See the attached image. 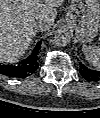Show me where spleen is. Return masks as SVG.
<instances>
[{
    "label": "spleen",
    "mask_w": 100,
    "mask_h": 118,
    "mask_svg": "<svg viewBox=\"0 0 100 118\" xmlns=\"http://www.w3.org/2000/svg\"><path fill=\"white\" fill-rule=\"evenodd\" d=\"M82 51L86 60L92 64L95 68L100 67V48L91 46H82Z\"/></svg>",
    "instance_id": "1"
}]
</instances>
